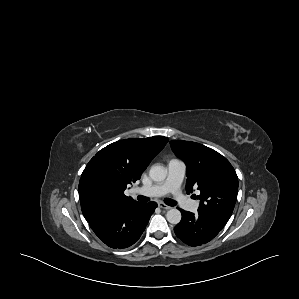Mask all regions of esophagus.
I'll return each mask as SVG.
<instances>
[{
	"instance_id": "34e87169",
	"label": "esophagus",
	"mask_w": 299,
	"mask_h": 299,
	"mask_svg": "<svg viewBox=\"0 0 299 299\" xmlns=\"http://www.w3.org/2000/svg\"><path fill=\"white\" fill-rule=\"evenodd\" d=\"M158 206L161 208V209H164V210H169L171 207L164 204V203H159Z\"/></svg>"
}]
</instances>
